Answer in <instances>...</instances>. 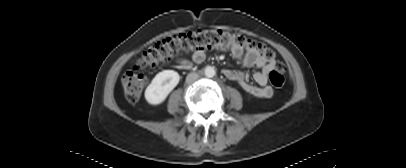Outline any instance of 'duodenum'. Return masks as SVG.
I'll use <instances>...</instances> for the list:
<instances>
[{
  "mask_svg": "<svg viewBox=\"0 0 406 168\" xmlns=\"http://www.w3.org/2000/svg\"><path fill=\"white\" fill-rule=\"evenodd\" d=\"M181 69L183 70H189L190 69V64L188 62H183L180 64Z\"/></svg>",
  "mask_w": 406,
  "mask_h": 168,
  "instance_id": "1",
  "label": "duodenum"
}]
</instances>
